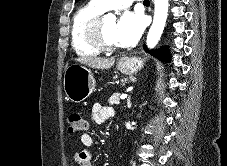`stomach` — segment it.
Instances as JSON below:
<instances>
[{
	"instance_id": "stomach-1",
	"label": "stomach",
	"mask_w": 227,
	"mask_h": 166,
	"mask_svg": "<svg viewBox=\"0 0 227 166\" xmlns=\"http://www.w3.org/2000/svg\"><path fill=\"white\" fill-rule=\"evenodd\" d=\"M144 62L145 59L139 57H124L120 59L117 68L123 74L132 75L141 70ZM63 86L68 100L80 103L93 92L96 82L88 68L72 64L65 70Z\"/></svg>"
}]
</instances>
